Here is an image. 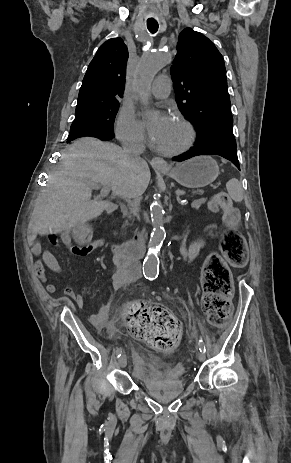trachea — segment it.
<instances>
[{
	"mask_svg": "<svg viewBox=\"0 0 291 463\" xmlns=\"http://www.w3.org/2000/svg\"><path fill=\"white\" fill-rule=\"evenodd\" d=\"M158 26V22L156 21H147V28L152 34L157 32Z\"/></svg>",
	"mask_w": 291,
	"mask_h": 463,
	"instance_id": "1",
	"label": "trachea"
}]
</instances>
